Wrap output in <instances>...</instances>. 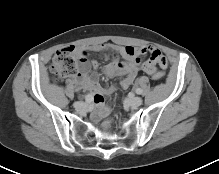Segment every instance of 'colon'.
<instances>
[{
  "label": "colon",
  "instance_id": "obj_1",
  "mask_svg": "<svg viewBox=\"0 0 219 174\" xmlns=\"http://www.w3.org/2000/svg\"><path fill=\"white\" fill-rule=\"evenodd\" d=\"M78 70V59L74 55L73 48L67 47L58 50L53 57L51 72L55 79L70 76ZM164 72L159 71L153 75V79L157 82H161L164 79ZM111 125L110 121L104 123V128H109Z\"/></svg>",
  "mask_w": 219,
  "mask_h": 174
}]
</instances>
